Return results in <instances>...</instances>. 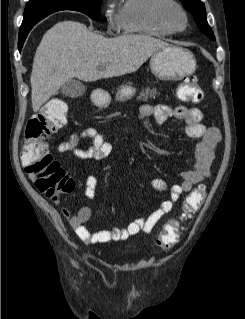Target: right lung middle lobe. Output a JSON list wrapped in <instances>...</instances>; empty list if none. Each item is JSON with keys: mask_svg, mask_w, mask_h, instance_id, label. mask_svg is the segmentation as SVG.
<instances>
[{"mask_svg": "<svg viewBox=\"0 0 245 319\" xmlns=\"http://www.w3.org/2000/svg\"><path fill=\"white\" fill-rule=\"evenodd\" d=\"M101 0H29L24 11L23 22L21 28H25L30 22V15L37 9L47 10H75L83 12L94 20L100 17Z\"/></svg>", "mask_w": 245, "mask_h": 319, "instance_id": "dd1d6c3e", "label": "right lung middle lobe"}]
</instances>
